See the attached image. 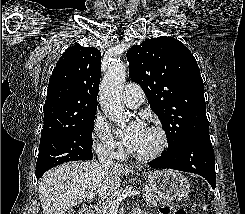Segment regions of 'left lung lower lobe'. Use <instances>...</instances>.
Wrapping results in <instances>:
<instances>
[{"label": "left lung lower lobe", "instance_id": "obj_1", "mask_svg": "<svg viewBox=\"0 0 245 214\" xmlns=\"http://www.w3.org/2000/svg\"><path fill=\"white\" fill-rule=\"evenodd\" d=\"M156 169L170 168L199 174L216 187L215 157L209 134H197L177 148L148 163Z\"/></svg>", "mask_w": 245, "mask_h": 214}]
</instances>
